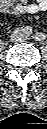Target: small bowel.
Instances as JSON below:
<instances>
[{
  "label": "small bowel",
  "instance_id": "small-bowel-1",
  "mask_svg": "<svg viewBox=\"0 0 47 129\" xmlns=\"http://www.w3.org/2000/svg\"><path fill=\"white\" fill-rule=\"evenodd\" d=\"M0 8L3 13L8 14H35L47 9V0H19L17 3H14V0H0Z\"/></svg>",
  "mask_w": 47,
  "mask_h": 129
}]
</instances>
